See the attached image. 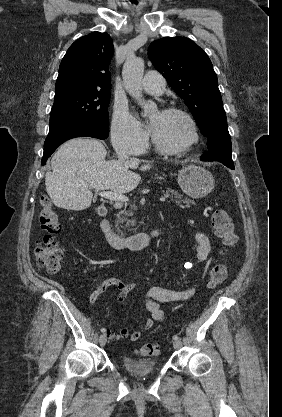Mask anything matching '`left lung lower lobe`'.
I'll return each instance as SVG.
<instances>
[{
  "instance_id": "left-lung-lower-lobe-1",
  "label": "left lung lower lobe",
  "mask_w": 282,
  "mask_h": 417,
  "mask_svg": "<svg viewBox=\"0 0 282 417\" xmlns=\"http://www.w3.org/2000/svg\"><path fill=\"white\" fill-rule=\"evenodd\" d=\"M205 136L208 138L207 146L209 152H205L200 159L206 161L216 160L228 168L234 169L227 121L219 122L212 126Z\"/></svg>"
}]
</instances>
